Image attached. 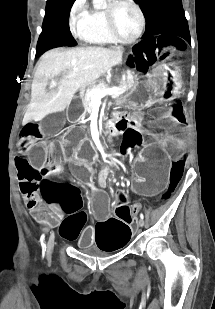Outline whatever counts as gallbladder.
Segmentation results:
<instances>
[{"label":"gallbladder","mask_w":215,"mask_h":309,"mask_svg":"<svg viewBox=\"0 0 215 309\" xmlns=\"http://www.w3.org/2000/svg\"><path fill=\"white\" fill-rule=\"evenodd\" d=\"M63 113H48L43 125L39 126L40 132H60L63 123Z\"/></svg>","instance_id":"gallbladder-1"}]
</instances>
